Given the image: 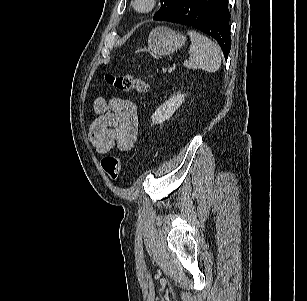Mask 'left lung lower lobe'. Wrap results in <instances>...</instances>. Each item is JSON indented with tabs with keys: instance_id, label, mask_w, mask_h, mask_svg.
I'll list each match as a JSON object with an SVG mask.
<instances>
[{
	"instance_id": "left-lung-lower-lobe-1",
	"label": "left lung lower lobe",
	"mask_w": 307,
	"mask_h": 301,
	"mask_svg": "<svg viewBox=\"0 0 307 301\" xmlns=\"http://www.w3.org/2000/svg\"><path fill=\"white\" fill-rule=\"evenodd\" d=\"M228 0H179L160 21L195 27L219 43L225 58L231 49Z\"/></svg>"
}]
</instances>
